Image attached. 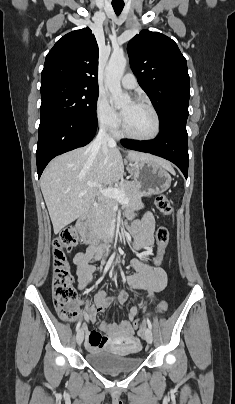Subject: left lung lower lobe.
I'll use <instances>...</instances> for the list:
<instances>
[{
	"instance_id": "obj_1",
	"label": "left lung lower lobe",
	"mask_w": 235,
	"mask_h": 404,
	"mask_svg": "<svg viewBox=\"0 0 235 404\" xmlns=\"http://www.w3.org/2000/svg\"><path fill=\"white\" fill-rule=\"evenodd\" d=\"M121 144L128 149L151 153L173 162L187 179L189 156L185 124H173L165 127L151 141L136 142L123 139Z\"/></svg>"
}]
</instances>
